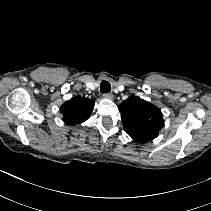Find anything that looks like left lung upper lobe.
Masks as SVG:
<instances>
[{
    "mask_svg": "<svg viewBox=\"0 0 211 211\" xmlns=\"http://www.w3.org/2000/svg\"><path fill=\"white\" fill-rule=\"evenodd\" d=\"M118 109L124 130L138 143L156 138L164 125L161 110L137 96L131 95Z\"/></svg>",
    "mask_w": 211,
    "mask_h": 211,
    "instance_id": "obj_1",
    "label": "left lung upper lobe"
}]
</instances>
